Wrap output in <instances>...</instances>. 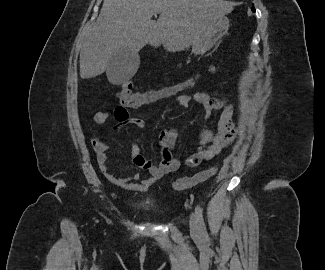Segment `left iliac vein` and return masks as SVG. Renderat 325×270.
Here are the masks:
<instances>
[{
    "label": "left iliac vein",
    "instance_id": "4c4485c4",
    "mask_svg": "<svg viewBox=\"0 0 325 270\" xmlns=\"http://www.w3.org/2000/svg\"><path fill=\"white\" fill-rule=\"evenodd\" d=\"M190 231L193 235H198L199 234V227H198V222H197V217L194 213L191 214L190 216Z\"/></svg>",
    "mask_w": 325,
    "mask_h": 270
}]
</instances>
